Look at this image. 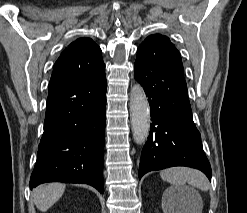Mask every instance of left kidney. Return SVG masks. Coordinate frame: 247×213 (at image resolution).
I'll return each mask as SVG.
<instances>
[{
  "instance_id": "5707ae66",
  "label": "left kidney",
  "mask_w": 247,
  "mask_h": 213,
  "mask_svg": "<svg viewBox=\"0 0 247 213\" xmlns=\"http://www.w3.org/2000/svg\"><path fill=\"white\" fill-rule=\"evenodd\" d=\"M177 200V196L174 193V190L171 191V193H167L165 192L163 195V211L164 213H171V209H167V206L169 203H176ZM174 213V212H172Z\"/></svg>"
}]
</instances>
